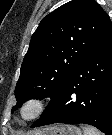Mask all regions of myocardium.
I'll list each match as a JSON object with an SVG mask.
<instances>
[{
  "mask_svg": "<svg viewBox=\"0 0 112 135\" xmlns=\"http://www.w3.org/2000/svg\"><path fill=\"white\" fill-rule=\"evenodd\" d=\"M44 108L45 105L41 98L30 97L21 104L18 114L22 121L31 122L41 116Z\"/></svg>",
  "mask_w": 112,
  "mask_h": 135,
  "instance_id": "obj_1",
  "label": "myocardium"
}]
</instances>
